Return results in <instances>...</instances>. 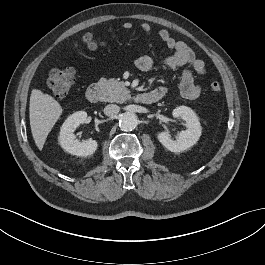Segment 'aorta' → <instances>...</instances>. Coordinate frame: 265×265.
Returning <instances> with one entry per match:
<instances>
[{
    "label": "aorta",
    "instance_id": "762f6f07",
    "mask_svg": "<svg viewBox=\"0 0 265 265\" xmlns=\"http://www.w3.org/2000/svg\"><path fill=\"white\" fill-rule=\"evenodd\" d=\"M138 124V118L135 113L125 112L120 119V127L125 131L133 130Z\"/></svg>",
    "mask_w": 265,
    "mask_h": 265
}]
</instances>
